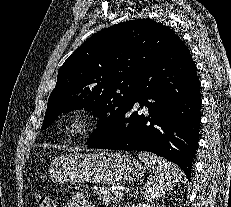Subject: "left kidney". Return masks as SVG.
Masks as SVG:
<instances>
[{"label": "left kidney", "instance_id": "obj_1", "mask_svg": "<svg viewBox=\"0 0 231 207\" xmlns=\"http://www.w3.org/2000/svg\"><path fill=\"white\" fill-rule=\"evenodd\" d=\"M132 207H152L148 203H138V204H133Z\"/></svg>", "mask_w": 231, "mask_h": 207}]
</instances>
